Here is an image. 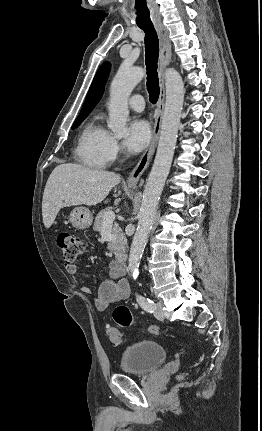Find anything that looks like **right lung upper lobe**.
<instances>
[{"label": "right lung upper lobe", "mask_w": 262, "mask_h": 431, "mask_svg": "<svg viewBox=\"0 0 262 431\" xmlns=\"http://www.w3.org/2000/svg\"><path fill=\"white\" fill-rule=\"evenodd\" d=\"M109 71L110 64L107 62L99 68L93 79L79 116H88L99 102L104 92V86L108 78Z\"/></svg>", "instance_id": "1"}]
</instances>
